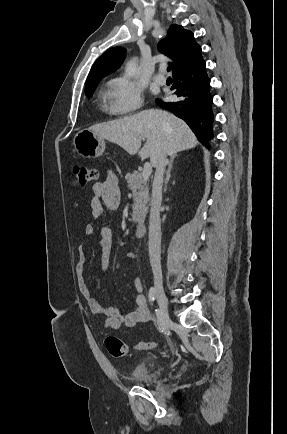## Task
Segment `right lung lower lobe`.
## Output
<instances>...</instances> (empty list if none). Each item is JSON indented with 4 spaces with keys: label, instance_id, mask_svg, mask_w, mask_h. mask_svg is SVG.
I'll list each match as a JSON object with an SVG mask.
<instances>
[{
    "label": "right lung lower lobe",
    "instance_id": "1",
    "mask_svg": "<svg viewBox=\"0 0 287 434\" xmlns=\"http://www.w3.org/2000/svg\"><path fill=\"white\" fill-rule=\"evenodd\" d=\"M173 78L171 89H175L177 97L167 103L157 99V105L183 119L199 141L207 145L213 138V98L209 92L210 79L201 52L187 66L173 74Z\"/></svg>",
    "mask_w": 287,
    "mask_h": 434
}]
</instances>
